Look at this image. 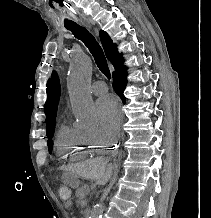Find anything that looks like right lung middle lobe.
Returning <instances> with one entry per match:
<instances>
[{
    "mask_svg": "<svg viewBox=\"0 0 211 218\" xmlns=\"http://www.w3.org/2000/svg\"><path fill=\"white\" fill-rule=\"evenodd\" d=\"M123 103L125 104L126 99H122ZM54 132H52L50 135H48V148H49V152H51L52 150V146H53V142L51 141L52 137H53Z\"/></svg>",
    "mask_w": 211,
    "mask_h": 218,
    "instance_id": "1",
    "label": "right lung middle lobe"
}]
</instances>
